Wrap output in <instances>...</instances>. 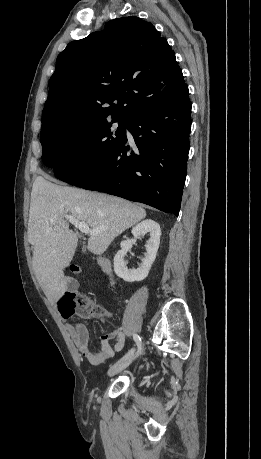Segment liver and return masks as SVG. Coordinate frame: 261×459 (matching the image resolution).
<instances>
[{
    "label": "liver",
    "instance_id": "liver-1",
    "mask_svg": "<svg viewBox=\"0 0 261 459\" xmlns=\"http://www.w3.org/2000/svg\"><path fill=\"white\" fill-rule=\"evenodd\" d=\"M66 215L88 224L87 248L104 253L111 242L146 217L139 205L108 194L60 186L47 176L36 177L31 192L28 239L33 249V267L43 291L57 301L67 290L63 270L76 252L78 236L69 230Z\"/></svg>",
    "mask_w": 261,
    "mask_h": 459
}]
</instances>
